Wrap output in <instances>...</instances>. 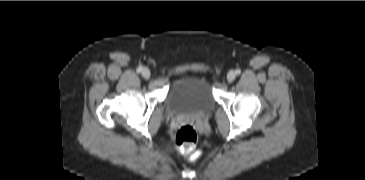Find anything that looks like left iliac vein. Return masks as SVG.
Returning <instances> with one entry per match:
<instances>
[{"instance_id":"1","label":"left iliac vein","mask_w":365,"mask_h":180,"mask_svg":"<svg viewBox=\"0 0 365 180\" xmlns=\"http://www.w3.org/2000/svg\"><path fill=\"white\" fill-rule=\"evenodd\" d=\"M235 78H236V72L233 70L229 71L227 74L228 82H233L235 80Z\"/></svg>"}]
</instances>
